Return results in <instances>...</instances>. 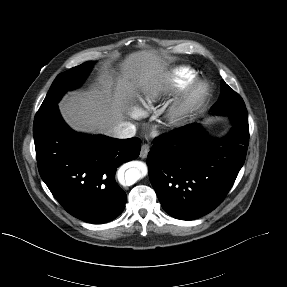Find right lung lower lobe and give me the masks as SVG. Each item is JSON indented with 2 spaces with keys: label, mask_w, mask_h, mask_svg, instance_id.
I'll use <instances>...</instances> for the list:
<instances>
[{
  "label": "right lung lower lobe",
  "mask_w": 287,
  "mask_h": 287,
  "mask_svg": "<svg viewBox=\"0 0 287 287\" xmlns=\"http://www.w3.org/2000/svg\"><path fill=\"white\" fill-rule=\"evenodd\" d=\"M33 135L40 176L68 213L101 224L123 212L126 194L115 173L121 164L139 156V138L74 132L61 118L57 104L36 113Z\"/></svg>",
  "instance_id": "right-lung-lower-lobe-1"
}]
</instances>
